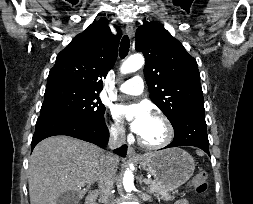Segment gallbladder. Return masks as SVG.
I'll return each instance as SVG.
<instances>
[{"instance_id":"1","label":"gallbladder","mask_w":253,"mask_h":204,"mask_svg":"<svg viewBox=\"0 0 253 204\" xmlns=\"http://www.w3.org/2000/svg\"><path fill=\"white\" fill-rule=\"evenodd\" d=\"M57 204H78L77 193L74 191H67L58 197Z\"/></svg>"}]
</instances>
